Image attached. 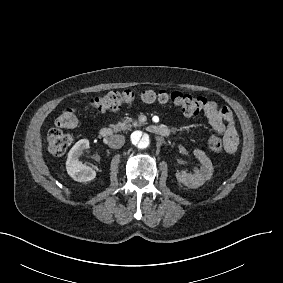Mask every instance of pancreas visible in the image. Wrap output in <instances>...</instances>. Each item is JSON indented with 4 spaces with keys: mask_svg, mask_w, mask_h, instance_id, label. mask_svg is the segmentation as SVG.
I'll use <instances>...</instances> for the list:
<instances>
[{
    "mask_svg": "<svg viewBox=\"0 0 283 283\" xmlns=\"http://www.w3.org/2000/svg\"><path fill=\"white\" fill-rule=\"evenodd\" d=\"M140 125L141 124H139L136 120H133L132 118H126L117 124H110L109 127H111L114 132H119L121 130L130 129L132 126L136 127Z\"/></svg>",
    "mask_w": 283,
    "mask_h": 283,
    "instance_id": "1",
    "label": "pancreas"
}]
</instances>
